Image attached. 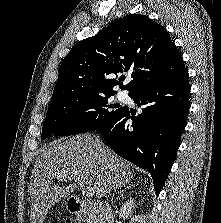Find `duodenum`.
Here are the masks:
<instances>
[{
    "instance_id": "duodenum-1",
    "label": "duodenum",
    "mask_w": 221,
    "mask_h": 223,
    "mask_svg": "<svg viewBox=\"0 0 221 223\" xmlns=\"http://www.w3.org/2000/svg\"><path fill=\"white\" fill-rule=\"evenodd\" d=\"M68 208L79 221L92 217L94 223H108L106 210L100 204L72 197Z\"/></svg>"
}]
</instances>
